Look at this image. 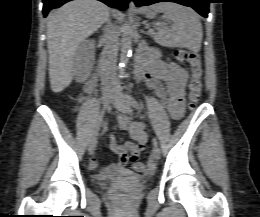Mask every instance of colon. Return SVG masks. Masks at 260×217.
Returning a JSON list of instances; mask_svg holds the SVG:
<instances>
[{"label":"colon","mask_w":260,"mask_h":217,"mask_svg":"<svg viewBox=\"0 0 260 217\" xmlns=\"http://www.w3.org/2000/svg\"><path fill=\"white\" fill-rule=\"evenodd\" d=\"M178 61L187 63L191 67V80H190V94H189V107L195 108L200 100L202 90V61L197 52L179 50L175 52ZM133 168L136 172L143 173L147 171L144 163L134 162Z\"/></svg>","instance_id":"1"}]
</instances>
